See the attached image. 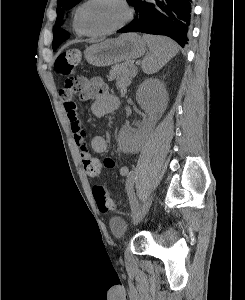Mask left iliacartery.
I'll use <instances>...</instances> for the list:
<instances>
[{
  "mask_svg": "<svg viewBox=\"0 0 245 300\" xmlns=\"http://www.w3.org/2000/svg\"><path fill=\"white\" fill-rule=\"evenodd\" d=\"M136 179V175L135 173H131L127 179V194H128V198L131 202V209H132V214L131 216L134 217L138 212H139V203L136 199V197L133 195L132 193V187H133V183Z\"/></svg>",
  "mask_w": 245,
  "mask_h": 300,
  "instance_id": "obj_1",
  "label": "left iliac artery"
}]
</instances>
